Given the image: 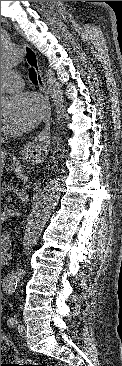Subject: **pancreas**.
I'll return each mask as SVG.
<instances>
[{"label": "pancreas", "instance_id": "obj_1", "mask_svg": "<svg viewBox=\"0 0 122 366\" xmlns=\"http://www.w3.org/2000/svg\"><path fill=\"white\" fill-rule=\"evenodd\" d=\"M8 188H9V185L7 183H5V182L2 183L1 184V195H4Z\"/></svg>", "mask_w": 122, "mask_h": 366}]
</instances>
